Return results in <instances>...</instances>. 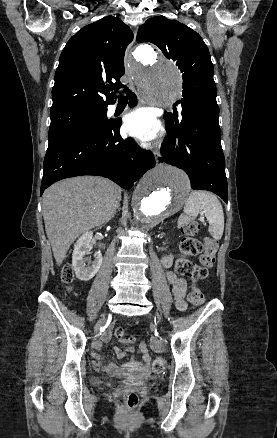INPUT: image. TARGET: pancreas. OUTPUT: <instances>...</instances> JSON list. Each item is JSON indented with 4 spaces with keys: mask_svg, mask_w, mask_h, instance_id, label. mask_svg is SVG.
Returning a JSON list of instances; mask_svg holds the SVG:
<instances>
[{
    "mask_svg": "<svg viewBox=\"0 0 277 438\" xmlns=\"http://www.w3.org/2000/svg\"><path fill=\"white\" fill-rule=\"evenodd\" d=\"M181 222L182 223H191L192 222V215L191 214H182L181 215Z\"/></svg>",
    "mask_w": 277,
    "mask_h": 438,
    "instance_id": "cf45deb5",
    "label": "pancreas"
}]
</instances>
